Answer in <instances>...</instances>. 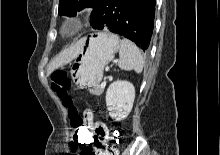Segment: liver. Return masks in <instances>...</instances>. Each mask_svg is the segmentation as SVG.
Masks as SVG:
<instances>
[{
	"instance_id": "liver-1",
	"label": "liver",
	"mask_w": 220,
	"mask_h": 155,
	"mask_svg": "<svg viewBox=\"0 0 220 155\" xmlns=\"http://www.w3.org/2000/svg\"><path fill=\"white\" fill-rule=\"evenodd\" d=\"M83 46V41H79L76 45L70 47L69 49L63 51L60 53L48 66L47 74H51L55 69L59 68L60 66H63L69 62H71L73 59H75L81 48Z\"/></svg>"
}]
</instances>
